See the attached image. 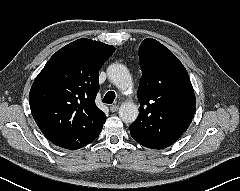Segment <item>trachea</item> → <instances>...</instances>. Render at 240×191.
I'll return each mask as SVG.
<instances>
[{
	"label": "trachea",
	"instance_id": "1",
	"mask_svg": "<svg viewBox=\"0 0 240 191\" xmlns=\"http://www.w3.org/2000/svg\"><path fill=\"white\" fill-rule=\"evenodd\" d=\"M114 99L115 93L113 91H108L103 98V102L107 104H112L114 102Z\"/></svg>",
	"mask_w": 240,
	"mask_h": 191
}]
</instances>
